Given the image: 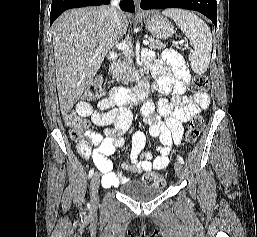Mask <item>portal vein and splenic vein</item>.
<instances>
[{"instance_id": "1", "label": "portal vein and splenic vein", "mask_w": 257, "mask_h": 237, "mask_svg": "<svg viewBox=\"0 0 257 237\" xmlns=\"http://www.w3.org/2000/svg\"><path fill=\"white\" fill-rule=\"evenodd\" d=\"M144 45H148L149 41L148 40H144L143 41ZM179 45H183V42L178 43ZM116 48L119 50H123V51H128L129 50V45H127L126 43H120L116 45ZM98 50H101L100 47L97 48Z\"/></svg>"}]
</instances>
